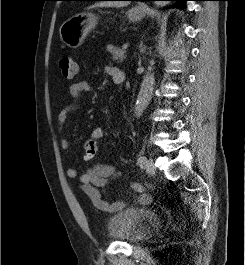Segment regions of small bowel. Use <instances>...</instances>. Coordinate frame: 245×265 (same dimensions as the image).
<instances>
[{"label":"small bowel","mask_w":245,"mask_h":265,"mask_svg":"<svg viewBox=\"0 0 245 265\" xmlns=\"http://www.w3.org/2000/svg\"><path fill=\"white\" fill-rule=\"evenodd\" d=\"M105 73L109 75L115 83L117 80L124 79L125 75L123 71L114 66H106ZM92 91L91 85L84 80L75 82L70 87V95L73 102L64 107L58 114L57 123L59 129H62L65 124L68 114L77 110L79 107V100L85 93ZM105 136V129L101 126H97L92 129L90 140L97 143L98 140ZM60 145L63 149L70 148V141L66 138H62ZM66 174L70 178L78 179L81 190L90 198L93 206L101 211L114 213L122 210L126 203L123 200H116L114 202H108L102 198V192L106 191L113 181L122 178V173L118 172L112 165L105 163H97L91 168H88L82 173H79L76 168L68 167ZM131 189L137 193L135 202L141 205L151 202V196L146 192L145 187L138 183L132 182L130 184Z\"/></svg>","instance_id":"obj_1"}]
</instances>
